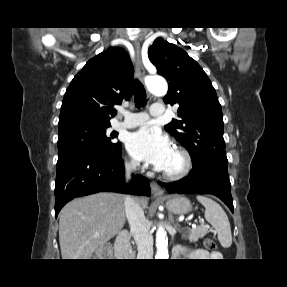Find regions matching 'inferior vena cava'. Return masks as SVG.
<instances>
[{"label":"inferior vena cava","mask_w":287,"mask_h":287,"mask_svg":"<svg viewBox=\"0 0 287 287\" xmlns=\"http://www.w3.org/2000/svg\"><path fill=\"white\" fill-rule=\"evenodd\" d=\"M136 166L134 162L125 165V178L127 181L131 178ZM124 206L131 233L134 235L138 246L137 259H152L153 237L149 233V222L145 218L142 207L130 196L125 197Z\"/></svg>","instance_id":"inferior-vena-cava-1"}]
</instances>
